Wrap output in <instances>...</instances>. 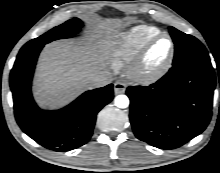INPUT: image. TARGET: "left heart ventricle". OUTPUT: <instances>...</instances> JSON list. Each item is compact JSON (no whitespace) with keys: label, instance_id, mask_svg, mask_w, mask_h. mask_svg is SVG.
<instances>
[{"label":"left heart ventricle","instance_id":"1","mask_svg":"<svg viewBox=\"0 0 220 173\" xmlns=\"http://www.w3.org/2000/svg\"><path fill=\"white\" fill-rule=\"evenodd\" d=\"M169 50V42L166 38L159 40L149 50L145 65L148 70H153L161 66L166 60Z\"/></svg>","mask_w":220,"mask_h":173}]
</instances>
